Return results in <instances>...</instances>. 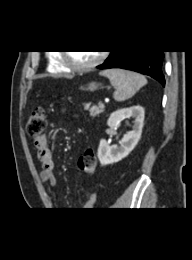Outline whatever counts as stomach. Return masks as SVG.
I'll return each mask as SVG.
<instances>
[{
    "label": "stomach",
    "mask_w": 192,
    "mask_h": 260,
    "mask_svg": "<svg viewBox=\"0 0 192 260\" xmlns=\"http://www.w3.org/2000/svg\"><path fill=\"white\" fill-rule=\"evenodd\" d=\"M100 86V84L96 83V82H91L87 85V90L90 91H95L96 89H98V87Z\"/></svg>",
    "instance_id": "obj_1"
}]
</instances>
